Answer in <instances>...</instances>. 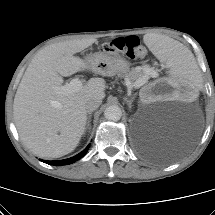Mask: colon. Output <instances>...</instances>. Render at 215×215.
Returning a JSON list of instances; mask_svg holds the SVG:
<instances>
[{"instance_id": "1", "label": "colon", "mask_w": 215, "mask_h": 215, "mask_svg": "<svg viewBox=\"0 0 215 215\" xmlns=\"http://www.w3.org/2000/svg\"><path fill=\"white\" fill-rule=\"evenodd\" d=\"M102 50L111 53H125L132 59L146 55V49L137 36L118 37L102 45Z\"/></svg>"}]
</instances>
